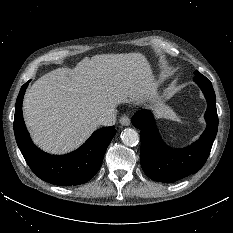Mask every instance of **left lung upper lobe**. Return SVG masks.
Returning a JSON list of instances; mask_svg holds the SVG:
<instances>
[{"label":"left lung upper lobe","instance_id":"left-lung-upper-lobe-1","mask_svg":"<svg viewBox=\"0 0 233 233\" xmlns=\"http://www.w3.org/2000/svg\"><path fill=\"white\" fill-rule=\"evenodd\" d=\"M208 79L202 75L201 73H199L198 71H195V77H194V81L195 82H199V81H207Z\"/></svg>","mask_w":233,"mask_h":233}]
</instances>
